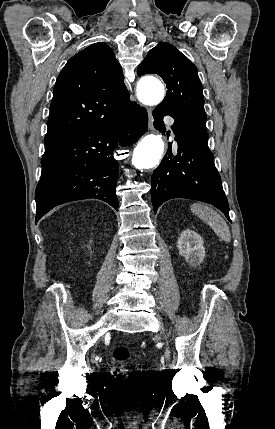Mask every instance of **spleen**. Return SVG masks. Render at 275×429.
Returning a JSON list of instances; mask_svg holds the SVG:
<instances>
[{
  "instance_id": "spleen-1",
  "label": "spleen",
  "mask_w": 275,
  "mask_h": 429,
  "mask_svg": "<svg viewBox=\"0 0 275 429\" xmlns=\"http://www.w3.org/2000/svg\"><path fill=\"white\" fill-rule=\"evenodd\" d=\"M191 211L202 221L208 224L222 240L230 242L231 235L225 220L207 205L195 203L191 205Z\"/></svg>"
}]
</instances>
